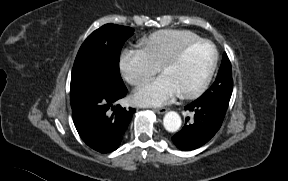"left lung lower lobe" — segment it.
<instances>
[{"label":"left lung lower lobe","instance_id":"left-lung-lower-lobe-1","mask_svg":"<svg viewBox=\"0 0 288 181\" xmlns=\"http://www.w3.org/2000/svg\"><path fill=\"white\" fill-rule=\"evenodd\" d=\"M185 109L194 113V121L176 133L172 141L177 148L188 151L204 145L216 134L227 109L213 102L199 101L192 102Z\"/></svg>","mask_w":288,"mask_h":181}]
</instances>
